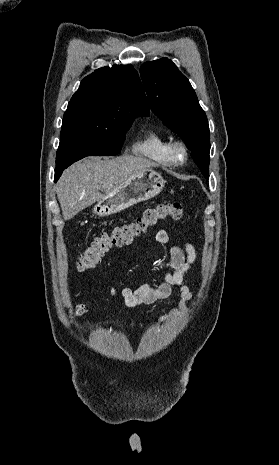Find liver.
Wrapping results in <instances>:
<instances>
[{
	"label": "liver",
	"mask_w": 279,
	"mask_h": 465,
	"mask_svg": "<svg viewBox=\"0 0 279 465\" xmlns=\"http://www.w3.org/2000/svg\"><path fill=\"white\" fill-rule=\"evenodd\" d=\"M153 165L145 158L132 155L104 159L94 156L74 163L63 172L56 186L64 219H72L130 177Z\"/></svg>",
	"instance_id": "6515ba94"
}]
</instances>
